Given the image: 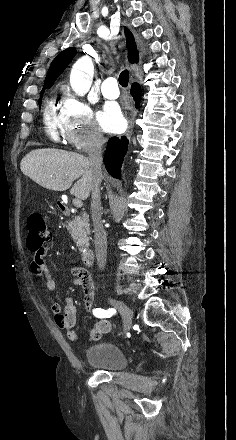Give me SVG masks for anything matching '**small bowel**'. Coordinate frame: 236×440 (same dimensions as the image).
Wrapping results in <instances>:
<instances>
[{
    "label": "small bowel",
    "mask_w": 236,
    "mask_h": 440,
    "mask_svg": "<svg viewBox=\"0 0 236 440\" xmlns=\"http://www.w3.org/2000/svg\"><path fill=\"white\" fill-rule=\"evenodd\" d=\"M51 246H46L38 250H34L33 259L30 264L31 272L39 277H45L46 287L49 291H54L58 286V281L52 276L50 270L45 262V256ZM74 278L73 283L81 286L84 295V306L87 310L91 309L95 299V288L92 278L88 271L83 268L76 267L72 269ZM51 312L54 317L56 326L67 333L70 341H77L79 335L75 330L77 320V308L74 300L71 297L65 299L64 304L53 303L51 305ZM111 323L108 320H101L97 322L90 334V340H98L103 333H110Z\"/></svg>",
    "instance_id": "obj_1"
}]
</instances>
